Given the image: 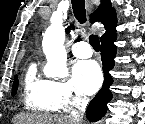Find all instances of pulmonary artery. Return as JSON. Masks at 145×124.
<instances>
[{
    "instance_id": "obj_1",
    "label": "pulmonary artery",
    "mask_w": 145,
    "mask_h": 124,
    "mask_svg": "<svg viewBox=\"0 0 145 124\" xmlns=\"http://www.w3.org/2000/svg\"><path fill=\"white\" fill-rule=\"evenodd\" d=\"M72 52L78 58H89L92 56V49L85 41H79L73 44Z\"/></svg>"
}]
</instances>
